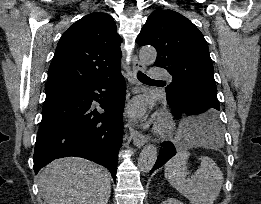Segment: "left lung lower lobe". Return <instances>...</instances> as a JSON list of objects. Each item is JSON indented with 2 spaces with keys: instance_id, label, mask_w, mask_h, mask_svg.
I'll return each mask as SVG.
<instances>
[{
  "instance_id": "left-lung-lower-lobe-1",
  "label": "left lung lower lobe",
  "mask_w": 261,
  "mask_h": 204,
  "mask_svg": "<svg viewBox=\"0 0 261 204\" xmlns=\"http://www.w3.org/2000/svg\"><path fill=\"white\" fill-rule=\"evenodd\" d=\"M169 106L172 108V114L177 119H181L182 116L202 114L201 116L203 118L198 128L199 133L213 138H219L221 136L220 124L217 117L218 110L206 100L195 96H186L181 98L177 103L169 104ZM175 154L176 149L174 144L171 142H163L152 171L160 168Z\"/></svg>"
}]
</instances>
